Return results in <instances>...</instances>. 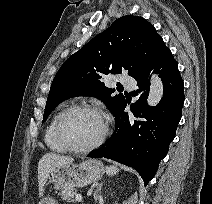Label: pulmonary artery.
<instances>
[{
    "label": "pulmonary artery",
    "mask_w": 212,
    "mask_h": 204,
    "mask_svg": "<svg viewBox=\"0 0 212 204\" xmlns=\"http://www.w3.org/2000/svg\"><path fill=\"white\" fill-rule=\"evenodd\" d=\"M120 82L128 88H133L135 85V80L132 77H128V76H123L120 79Z\"/></svg>",
    "instance_id": "1"
}]
</instances>
